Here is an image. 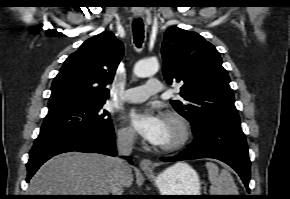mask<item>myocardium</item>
Masks as SVG:
<instances>
[{"mask_svg":"<svg viewBox=\"0 0 290 199\" xmlns=\"http://www.w3.org/2000/svg\"><path fill=\"white\" fill-rule=\"evenodd\" d=\"M165 118L173 122L179 129V138L172 144L159 146L158 150L164 153H172L184 148L192 138V129L188 120L178 112L167 111Z\"/></svg>","mask_w":290,"mask_h":199,"instance_id":"1","label":"myocardium"}]
</instances>
